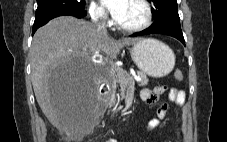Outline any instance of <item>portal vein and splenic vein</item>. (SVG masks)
Returning <instances> with one entry per match:
<instances>
[{
	"label": "portal vein and splenic vein",
	"instance_id": "portal-vein-and-splenic-vein-1",
	"mask_svg": "<svg viewBox=\"0 0 227 142\" xmlns=\"http://www.w3.org/2000/svg\"><path fill=\"white\" fill-rule=\"evenodd\" d=\"M117 74L118 75H121V71L120 70H117ZM138 81H141V78H138L137 79ZM134 86V83L130 85V87H133Z\"/></svg>",
	"mask_w": 227,
	"mask_h": 142
}]
</instances>
